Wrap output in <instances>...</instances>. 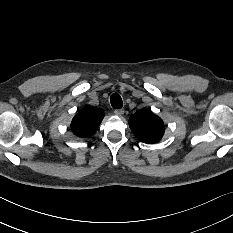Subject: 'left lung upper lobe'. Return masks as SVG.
I'll return each mask as SVG.
<instances>
[{"label":"left lung upper lobe","mask_w":233,"mask_h":233,"mask_svg":"<svg viewBox=\"0 0 233 233\" xmlns=\"http://www.w3.org/2000/svg\"><path fill=\"white\" fill-rule=\"evenodd\" d=\"M129 126L134 135L144 143H156L164 134L163 121L147 109L133 114L129 119Z\"/></svg>","instance_id":"1"}]
</instances>
